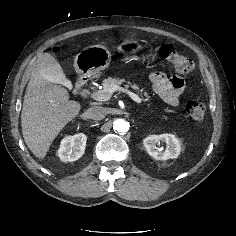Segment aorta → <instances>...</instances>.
<instances>
[{"label":"aorta","mask_w":236,"mask_h":236,"mask_svg":"<svg viewBox=\"0 0 236 236\" xmlns=\"http://www.w3.org/2000/svg\"><path fill=\"white\" fill-rule=\"evenodd\" d=\"M113 129L117 132L126 133L129 130V123L124 119H117L114 121Z\"/></svg>","instance_id":"aorta-1"}]
</instances>
